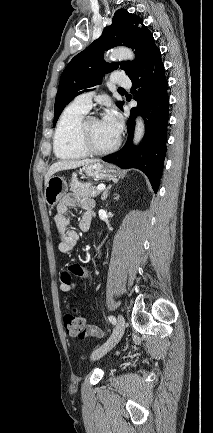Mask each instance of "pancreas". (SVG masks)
Segmentation results:
<instances>
[{
  "mask_svg": "<svg viewBox=\"0 0 213 433\" xmlns=\"http://www.w3.org/2000/svg\"><path fill=\"white\" fill-rule=\"evenodd\" d=\"M70 190L77 196L96 197L100 191L95 186L89 183H79L75 178L72 179Z\"/></svg>",
  "mask_w": 213,
  "mask_h": 433,
  "instance_id": "cf45deb5",
  "label": "pancreas"
}]
</instances>
